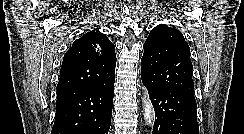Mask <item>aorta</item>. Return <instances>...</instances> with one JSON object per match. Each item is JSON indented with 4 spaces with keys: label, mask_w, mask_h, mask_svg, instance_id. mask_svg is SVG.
<instances>
[{
    "label": "aorta",
    "mask_w": 244,
    "mask_h": 134,
    "mask_svg": "<svg viewBox=\"0 0 244 134\" xmlns=\"http://www.w3.org/2000/svg\"><path fill=\"white\" fill-rule=\"evenodd\" d=\"M142 103L144 108V119L146 123L151 126L155 119L154 107L150 101L147 89L143 88Z\"/></svg>",
    "instance_id": "obj_1"
}]
</instances>
